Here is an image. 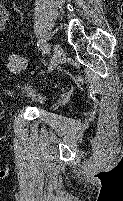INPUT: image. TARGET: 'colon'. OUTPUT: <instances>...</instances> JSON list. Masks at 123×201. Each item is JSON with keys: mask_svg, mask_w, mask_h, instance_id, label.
Returning <instances> with one entry per match:
<instances>
[{"mask_svg": "<svg viewBox=\"0 0 123 201\" xmlns=\"http://www.w3.org/2000/svg\"><path fill=\"white\" fill-rule=\"evenodd\" d=\"M28 67V62L25 58L18 55H10L8 58V68L13 73H20Z\"/></svg>", "mask_w": 123, "mask_h": 201, "instance_id": "obj_1", "label": "colon"}]
</instances>
